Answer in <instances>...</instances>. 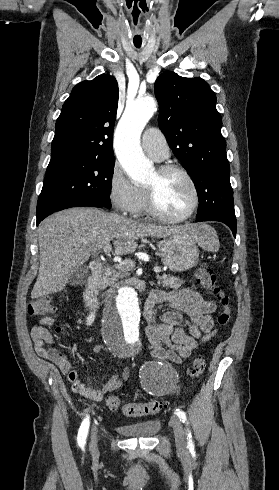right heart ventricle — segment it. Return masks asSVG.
<instances>
[{"mask_svg": "<svg viewBox=\"0 0 279 490\" xmlns=\"http://www.w3.org/2000/svg\"><path fill=\"white\" fill-rule=\"evenodd\" d=\"M144 190V189H143ZM144 193H145V197H146V203H147V191L144 190ZM146 203H145V206H146Z\"/></svg>", "mask_w": 279, "mask_h": 490, "instance_id": "right-heart-ventricle-1", "label": "right heart ventricle"}]
</instances>
